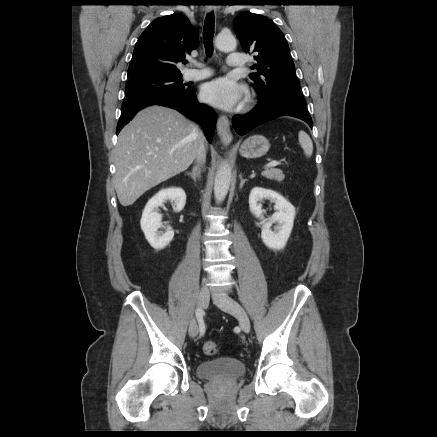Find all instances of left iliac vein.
<instances>
[{
  "label": "left iliac vein",
  "mask_w": 437,
  "mask_h": 437,
  "mask_svg": "<svg viewBox=\"0 0 437 437\" xmlns=\"http://www.w3.org/2000/svg\"><path fill=\"white\" fill-rule=\"evenodd\" d=\"M213 301L220 309L235 316L244 332L250 331L248 315L238 302L222 293L213 295Z\"/></svg>",
  "instance_id": "1"
}]
</instances>
